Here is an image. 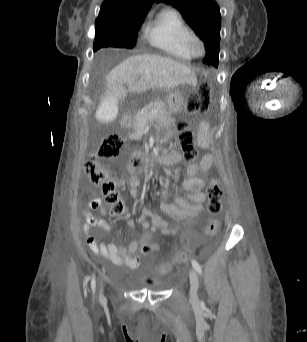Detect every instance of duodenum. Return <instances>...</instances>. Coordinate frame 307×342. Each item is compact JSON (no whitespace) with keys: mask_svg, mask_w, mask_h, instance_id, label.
I'll use <instances>...</instances> for the list:
<instances>
[{"mask_svg":"<svg viewBox=\"0 0 307 342\" xmlns=\"http://www.w3.org/2000/svg\"><path fill=\"white\" fill-rule=\"evenodd\" d=\"M121 125L124 129H128L130 127V118L128 116H124L121 120ZM133 154L142 157L145 160H149L152 163H160V164H166L171 165L172 159L169 155L167 156H159L156 153H150L146 152L142 149H134Z\"/></svg>","mask_w":307,"mask_h":342,"instance_id":"duodenum-1","label":"duodenum"}]
</instances>
